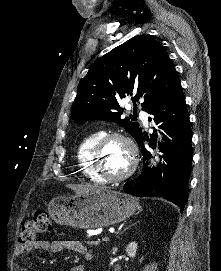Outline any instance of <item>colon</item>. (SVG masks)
I'll return each mask as SVG.
<instances>
[{
    "mask_svg": "<svg viewBox=\"0 0 221 271\" xmlns=\"http://www.w3.org/2000/svg\"><path fill=\"white\" fill-rule=\"evenodd\" d=\"M51 228V221L46 210H38L33 218L24 222L20 230L18 241L21 245L32 242L39 234L49 232Z\"/></svg>",
    "mask_w": 221,
    "mask_h": 271,
    "instance_id": "colon-1",
    "label": "colon"
}]
</instances>
